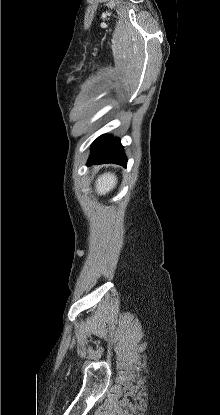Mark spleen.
<instances>
[{
	"mask_svg": "<svg viewBox=\"0 0 220 415\" xmlns=\"http://www.w3.org/2000/svg\"><path fill=\"white\" fill-rule=\"evenodd\" d=\"M117 184V177L112 173H104L100 175L96 181V189L98 194L105 195L113 190Z\"/></svg>",
	"mask_w": 220,
	"mask_h": 415,
	"instance_id": "spleen-1",
	"label": "spleen"
}]
</instances>
